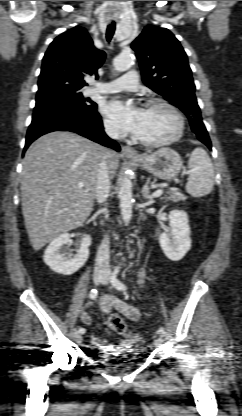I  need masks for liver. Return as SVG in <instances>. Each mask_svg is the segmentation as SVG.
I'll return each mask as SVG.
<instances>
[{
	"label": "liver",
	"mask_w": 242,
	"mask_h": 416,
	"mask_svg": "<svg viewBox=\"0 0 242 416\" xmlns=\"http://www.w3.org/2000/svg\"><path fill=\"white\" fill-rule=\"evenodd\" d=\"M105 151L103 146L68 131L45 134L28 148L23 160L21 197L34 250L81 226L89 217ZM108 152L109 175L113 178L119 156Z\"/></svg>",
	"instance_id": "1"
}]
</instances>
